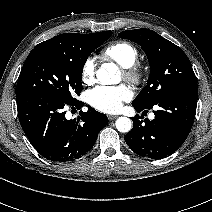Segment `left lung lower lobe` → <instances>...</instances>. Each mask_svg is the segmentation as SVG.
Returning <instances> with one entry per match:
<instances>
[{"label": "left lung lower lobe", "instance_id": "obj_1", "mask_svg": "<svg viewBox=\"0 0 212 212\" xmlns=\"http://www.w3.org/2000/svg\"><path fill=\"white\" fill-rule=\"evenodd\" d=\"M198 89L175 92L155 105L142 107L133 105L137 112H147L153 106V120L133 117V128L125 136L130 149L142 157L162 159L173 154L187 138L193 125Z\"/></svg>", "mask_w": 212, "mask_h": 212}]
</instances>
